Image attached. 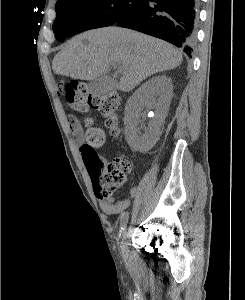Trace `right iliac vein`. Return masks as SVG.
<instances>
[{"mask_svg":"<svg viewBox=\"0 0 245 300\" xmlns=\"http://www.w3.org/2000/svg\"><path fill=\"white\" fill-rule=\"evenodd\" d=\"M129 237V230H125L123 232V235H122V253H123V256L124 257H128L129 256V253H128V249H127V246H128V243H127V239Z\"/></svg>","mask_w":245,"mask_h":300,"instance_id":"1","label":"right iliac vein"}]
</instances>
